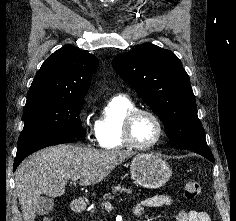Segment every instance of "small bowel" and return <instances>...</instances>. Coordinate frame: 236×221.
Here are the masks:
<instances>
[{
  "instance_id": "small-bowel-1",
  "label": "small bowel",
  "mask_w": 236,
  "mask_h": 221,
  "mask_svg": "<svg viewBox=\"0 0 236 221\" xmlns=\"http://www.w3.org/2000/svg\"><path fill=\"white\" fill-rule=\"evenodd\" d=\"M174 200L167 195H155L153 197L140 200L134 208L137 216L143 214L147 208H158L163 206H170ZM177 221H210V216L207 212L201 210H186L181 208L177 214Z\"/></svg>"
}]
</instances>
